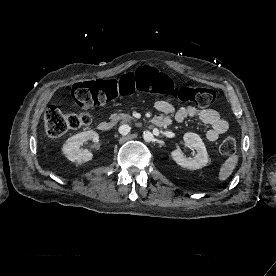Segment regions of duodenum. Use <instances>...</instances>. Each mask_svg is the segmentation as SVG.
Instances as JSON below:
<instances>
[{
    "instance_id": "duodenum-1",
    "label": "duodenum",
    "mask_w": 276,
    "mask_h": 276,
    "mask_svg": "<svg viewBox=\"0 0 276 276\" xmlns=\"http://www.w3.org/2000/svg\"><path fill=\"white\" fill-rule=\"evenodd\" d=\"M152 124L157 127H166L169 121L162 117H156L152 120ZM98 129L102 132H108L111 129V124L108 121H101L98 123Z\"/></svg>"
}]
</instances>
